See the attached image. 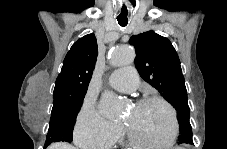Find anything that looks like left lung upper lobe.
Masks as SVG:
<instances>
[{
    "mask_svg": "<svg viewBox=\"0 0 227 149\" xmlns=\"http://www.w3.org/2000/svg\"><path fill=\"white\" fill-rule=\"evenodd\" d=\"M135 66L140 76L177 110L180 135L178 144H193L190 109L180 60L171 42L154 31L133 35Z\"/></svg>",
    "mask_w": 227,
    "mask_h": 149,
    "instance_id": "1",
    "label": "left lung upper lobe"
}]
</instances>
